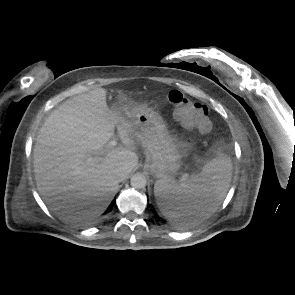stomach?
Here are the masks:
<instances>
[{"instance_id": "0dacf381", "label": "stomach", "mask_w": 295, "mask_h": 295, "mask_svg": "<svg viewBox=\"0 0 295 295\" xmlns=\"http://www.w3.org/2000/svg\"><path fill=\"white\" fill-rule=\"evenodd\" d=\"M121 119L146 150L144 168L159 179H171L180 169L182 143L170 134L161 115L144 104L122 99L116 106ZM163 213L166 208L159 206Z\"/></svg>"}]
</instances>
